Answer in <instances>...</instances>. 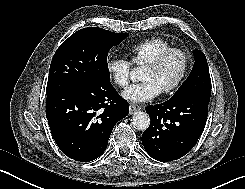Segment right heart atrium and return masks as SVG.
I'll use <instances>...</instances> for the list:
<instances>
[{"label": "right heart atrium", "mask_w": 245, "mask_h": 189, "mask_svg": "<svg viewBox=\"0 0 245 189\" xmlns=\"http://www.w3.org/2000/svg\"><path fill=\"white\" fill-rule=\"evenodd\" d=\"M132 65L125 58L111 57L106 60V71L111 80L119 87H127Z\"/></svg>", "instance_id": "obj_1"}]
</instances>
